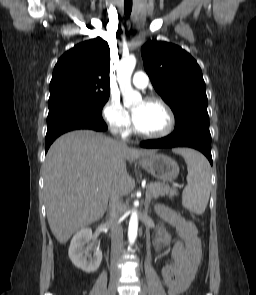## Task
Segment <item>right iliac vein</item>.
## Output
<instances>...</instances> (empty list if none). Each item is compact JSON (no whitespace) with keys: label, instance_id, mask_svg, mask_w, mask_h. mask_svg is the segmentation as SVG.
I'll return each mask as SVG.
<instances>
[{"label":"right iliac vein","instance_id":"63e3f726","mask_svg":"<svg viewBox=\"0 0 256 295\" xmlns=\"http://www.w3.org/2000/svg\"><path fill=\"white\" fill-rule=\"evenodd\" d=\"M118 274H114L111 279H110V283H109V288H108V295H115L116 292V286L118 283Z\"/></svg>","mask_w":256,"mask_h":295}]
</instances>
